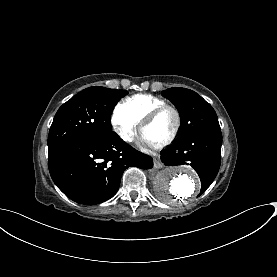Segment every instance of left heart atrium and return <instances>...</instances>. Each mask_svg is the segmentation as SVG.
<instances>
[{
  "label": "left heart atrium",
  "instance_id": "1",
  "mask_svg": "<svg viewBox=\"0 0 277 277\" xmlns=\"http://www.w3.org/2000/svg\"><path fill=\"white\" fill-rule=\"evenodd\" d=\"M140 143H141V145L148 146V147H153L156 145L144 133H142V135L140 137Z\"/></svg>",
  "mask_w": 277,
  "mask_h": 277
}]
</instances>
